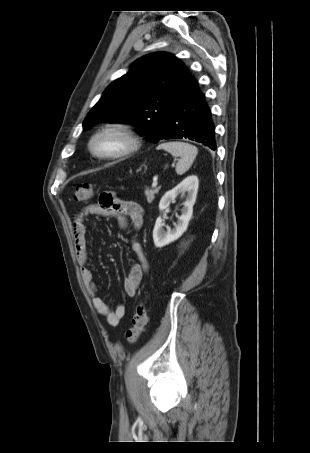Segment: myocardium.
<instances>
[{
    "label": "myocardium",
    "instance_id": "f54148a6",
    "mask_svg": "<svg viewBox=\"0 0 310 453\" xmlns=\"http://www.w3.org/2000/svg\"><path fill=\"white\" fill-rule=\"evenodd\" d=\"M113 135L121 140V146L113 151L101 153L97 150L95 142L97 139ZM89 152L100 160H113L122 158L136 152L141 146V139L133 127L124 122H110L97 129L88 141Z\"/></svg>",
    "mask_w": 310,
    "mask_h": 453
}]
</instances>
